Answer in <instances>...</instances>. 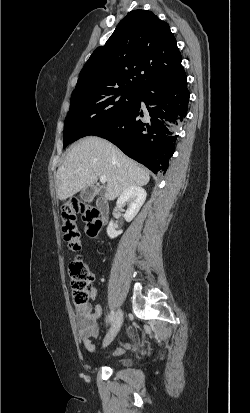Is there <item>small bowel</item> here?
<instances>
[{"label":"small bowel","instance_id":"small-bowel-1","mask_svg":"<svg viewBox=\"0 0 250 413\" xmlns=\"http://www.w3.org/2000/svg\"><path fill=\"white\" fill-rule=\"evenodd\" d=\"M97 295L96 287H92L90 291V296L95 300ZM102 314V307L100 304H95L94 306L88 304L84 308H78L75 312V322L78 335L88 352L95 351V345L92 339L96 338L99 334V326L97 323L98 318ZM123 350L118 349L115 354H120Z\"/></svg>","mask_w":250,"mask_h":413}]
</instances>
